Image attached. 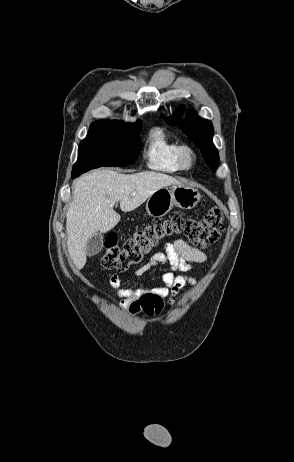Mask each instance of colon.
Returning <instances> with one entry per match:
<instances>
[{
	"label": "colon",
	"instance_id": "obj_1",
	"mask_svg": "<svg viewBox=\"0 0 294 462\" xmlns=\"http://www.w3.org/2000/svg\"><path fill=\"white\" fill-rule=\"evenodd\" d=\"M224 229L223 213L214 207L199 219L176 216L154 222L137 230L122 246L118 245L117 236L110 234L106 239L101 264L108 270L126 271L139 264L145 255L173 234H183L192 245L205 248L215 243ZM163 305L162 297L145 293L130 304V310H143L148 315H154L162 310Z\"/></svg>",
	"mask_w": 294,
	"mask_h": 462
}]
</instances>
